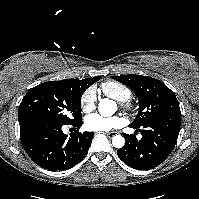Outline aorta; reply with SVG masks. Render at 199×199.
<instances>
[{"mask_svg": "<svg viewBox=\"0 0 199 199\" xmlns=\"http://www.w3.org/2000/svg\"><path fill=\"white\" fill-rule=\"evenodd\" d=\"M99 113L103 117H110L117 111V104L113 100L102 99L98 106ZM125 144V139L121 135H116L112 139V145L115 148H122Z\"/></svg>", "mask_w": 199, "mask_h": 199, "instance_id": "762f6f07", "label": "aorta"}]
</instances>
